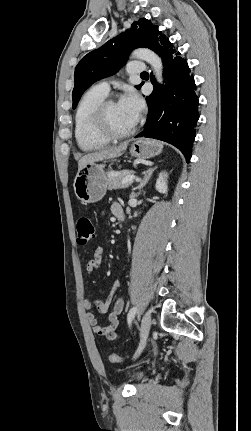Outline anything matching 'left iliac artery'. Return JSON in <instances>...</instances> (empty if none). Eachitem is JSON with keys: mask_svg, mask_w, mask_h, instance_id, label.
I'll return each mask as SVG.
<instances>
[{"mask_svg": "<svg viewBox=\"0 0 251 431\" xmlns=\"http://www.w3.org/2000/svg\"><path fill=\"white\" fill-rule=\"evenodd\" d=\"M137 313V308L136 307H132L127 315V322L129 324V326L132 323V320L134 319L135 315Z\"/></svg>", "mask_w": 251, "mask_h": 431, "instance_id": "44dca946", "label": "left iliac artery"}]
</instances>
